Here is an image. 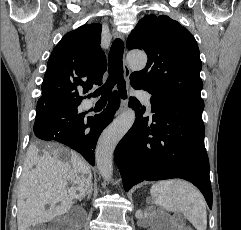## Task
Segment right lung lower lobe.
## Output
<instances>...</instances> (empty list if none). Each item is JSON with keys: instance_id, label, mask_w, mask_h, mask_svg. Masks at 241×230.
<instances>
[{"instance_id": "right-lung-lower-lobe-1", "label": "right lung lower lobe", "mask_w": 241, "mask_h": 230, "mask_svg": "<svg viewBox=\"0 0 241 230\" xmlns=\"http://www.w3.org/2000/svg\"><path fill=\"white\" fill-rule=\"evenodd\" d=\"M120 106V98L114 91L109 99L107 107L100 113L92 117H85L76 125L69 129L60 130L53 128L45 123L46 119L60 116L55 113L37 110L36 119L33 127L34 136L45 141L55 140L63 143L79 152L91 165H95V147L97 140L104 128L113 120L116 110ZM90 128V132L85 130Z\"/></svg>"}]
</instances>
